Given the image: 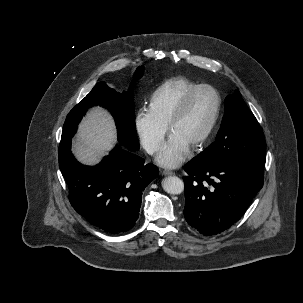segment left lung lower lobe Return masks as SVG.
I'll use <instances>...</instances> for the list:
<instances>
[{
  "mask_svg": "<svg viewBox=\"0 0 303 303\" xmlns=\"http://www.w3.org/2000/svg\"><path fill=\"white\" fill-rule=\"evenodd\" d=\"M184 170L185 219L205 236L216 235L238 221L264 181L263 175L199 156Z\"/></svg>",
  "mask_w": 303,
  "mask_h": 303,
  "instance_id": "obj_1",
  "label": "left lung lower lobe"
}]
</instances>
